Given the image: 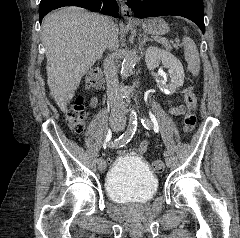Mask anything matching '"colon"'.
I'll return each mask as SVG.
<instances>
[{
	"mask_svg": "<svg viewBox=\"0 0 240 238\" xmlns=\"http://www.w3.org/2000/svg\"><path fill=\"white\" fill-rule=\"evenodd\" d=\"M102 85V76L99 70L91 71L87 76V86L91 89H97ZM184 100L188 107V112L184 116L183 129L185 133H191L196 125L195 107L197 105V96L192 87L185 90ZM85 108L84 98L79 96L71 104L66 113V121L69 128L75 133H81L85 127ZM153 169L160 173L164 170V163L156 160L153 163Z\"/></svg>",
	"mask_w": 240,
	"mask_h": 238,
	"instance_id": "obj_1",
	"label": "colon"
}]
</instances>
